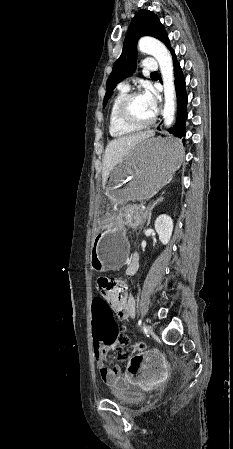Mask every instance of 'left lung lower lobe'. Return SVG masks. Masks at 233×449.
<instances>
[{
    "mask_svg": "<svg viewBox=\"0 0 233 449\" xmlns=\"http://www.w3.org/2000/svg\"><path fill=\"white\" fill-rule=\"evenodd\" d=\"M173 58L174 76H175V89L177 95L178 112L175 126L169 129L170 133L177 137L176 142L171 146L173 149L177 148L182 139L186 135L185 121L187 119V93L185 78L182 73V69L177 62L174 50H170ZM185 143V139L182 140Z\"/></svg>",
    "mask_w": 233,
    "mask_h": 449,
    "instance_id": "left-lung-lower-lobe-1",
    "label": "left lung lower lobe"
}]
</instances>
